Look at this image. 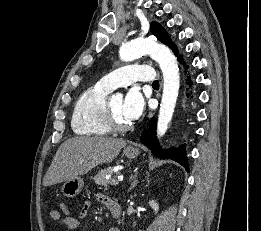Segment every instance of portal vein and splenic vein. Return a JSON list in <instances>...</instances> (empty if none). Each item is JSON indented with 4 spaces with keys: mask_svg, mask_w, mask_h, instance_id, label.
<instances>
[{
    "mask_svg": "<svg viewBox=\"0 0 261 231\" xmlns=\"http://www.w3.org/2000/svg\"><path fill=\"white\" fill-rule=\"evenodd\" d=\"M106 179H109V176H106ZM123 179L122 176H119L118 179H112L111 180V185H117L119 184V181H121Z\"/></svg>",
    "mask_w": 261,
    "mask_h": 231,
    "instance_id": "portal-vein-and-splenic-vein-1",
    "label": "portal vein and splenic vein"
}]
</instances>
